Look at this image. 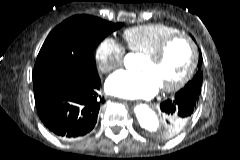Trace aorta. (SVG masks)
<instances>
[{
	"label": "aorta",
	"instance_id": "obj_1",
	"mask_svg": "<svg viewBox=\"0 0 240 160\" xmlns=\"http://www.w3.org/2000/svg\"><path fill=\"white\" fill-rule=\"evenodd\" d=\"M134 113L140 126L150 133H154L159 128V120L156 113L146 104H138L134 108Z\"/></svg>",
	"mask_w": 240,
	"mask_h": 160
}]
</instances>
